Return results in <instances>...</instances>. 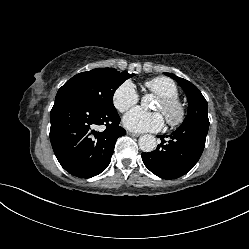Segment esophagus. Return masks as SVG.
<instances>
[{
	"mask_svg": "<svg viewBox=\"0 0 249 249\" xmlns=\"http://www.w3.org/2000/svg\"><path fill=\"white\" fill-rule=\"evenodd\" d=\"M128 135L133 136V137H138L140 134L133 133V132H127Z\"/></svg>",
	"mask_w": 249,
	"mask_h": 249,
	"instance_id": "34e87169",
	"label": "esophagus"
}]
</instances>
